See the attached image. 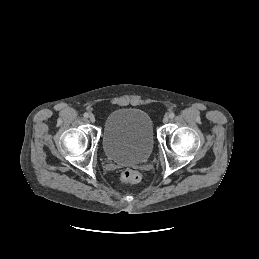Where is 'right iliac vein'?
<instances>
[{"instance_id": "obj_1", "label": "right iliac vein", "mask_w": 259, "mask_h": 259, "mask_svg": "<svg viewBox=\"0 0 259 259\" xmlns=\"http://www.w3.org/2000/svg\"><path fill=\"white\" fill-rule=\"evenodd\" d=\"M89 120H90V122L94 123L95 122V116L94 115H90L89 116Z\"/></svg>"}]
</instances>
